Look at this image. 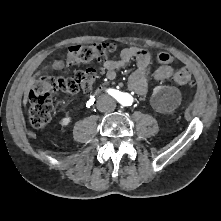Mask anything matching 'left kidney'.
Here are the masks:
<instances>
[{"instance_id":"1","label":"left kidney","mask_w":221,"mask_h":221,"mask_svg":"<svg viewBox=\"0 0 221 221\" xmlns=\"http://www.w3.org/2000/svg\"><path fill=\"white\" fill-rule=\"evenodd\" d=\"M181 101V93L176 87L157 86L153 91V105L160 113L173 111Z\"/></svg>"}]
</instances>
